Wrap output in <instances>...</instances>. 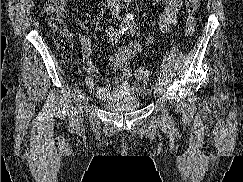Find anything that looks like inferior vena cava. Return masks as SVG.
Returning a JSON list of instances; mask_svg holds the SVG:
<instances>
[{
  "label": "inferior vena cava",
  "instance_id": "obj_1",
  "mask_svg": "<svg viewBox=\"0 0 243 182\" xmlns=\"http://www.w3.org/2000/svg\"><path fill=\"white\" fill-rule=\"evenodd\" d=\"M108 7L110 8V11L112 14L118 15L119 14V0H107Z\"/></svg>",
  "mask_w": 243,
  "mask_h": 182
}]
</instances>
